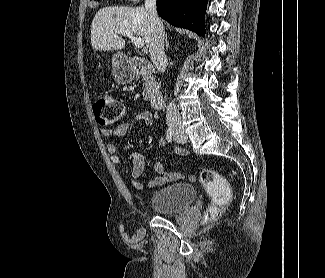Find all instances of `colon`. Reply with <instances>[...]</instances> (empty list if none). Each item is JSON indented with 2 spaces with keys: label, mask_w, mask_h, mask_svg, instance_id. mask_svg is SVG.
<instances>
[{
  "label": "colon",
  "mask_w": 325,
  "mask_h": 278,
  "mask_svg": "<svg viewBox=\"0 0 325 278\" xmlns=\"http://www.w3.org/2000/svg\"><path fill=\"white\" fill-rule=\"evenodd\" d=\"M93 110L102 126L117 124L125 114L124 105L109 93H101L96 98ZM200 182L213 201V205L207 209L204 215V222L209 223L220 217V207L230 200L231 188L228 181L212 169L202 170Z\"/></svg>",
  "instance_id": "colon-1"
}]
</instances>
